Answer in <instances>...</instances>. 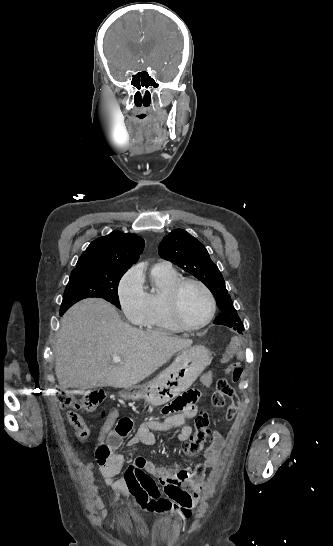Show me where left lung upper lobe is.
Masks as SVG:
<instances>
[{"instance_id":"5c2ea615","label":"left lung upper lobe","mask_w":333,"mask_h":546,"mask_svg":"<svg viewBox=\"0 0 333 546\" xmlns=\"http://www.w3.org/2000/svg\"><path fill=\"white\" fill-rule=\"evenodd\" d=\"M158 252L161 258L176 264L203 282L214 295L222 314L239 318L222 274L210 259L204 245L196 238L185 230L176 229L163 238Z\"/></svg>"}]
</instances>
